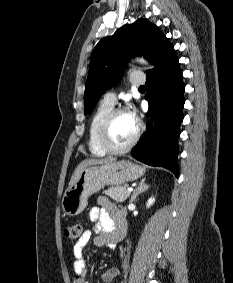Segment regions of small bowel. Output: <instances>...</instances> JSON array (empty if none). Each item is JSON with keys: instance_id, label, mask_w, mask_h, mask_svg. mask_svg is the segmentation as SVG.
I'll use <instances>...</instances> for the list:
<instances>
[{"instance_id": "c3829d8e", "label": "small bowel", "mask_w": 233, "mask_h": 283, "mask_svg": "<svg viewBox=\"0 0 233 283\" xmlns=\"http://www.w3.org/2000/svg\"><path fill=\"white\" fill-rule=\"evenodd\" d=\"M98 204L99 207H93L89 212V218L94 224L93 228L85 230L73 247V270L75 274L73 283H88L85 280L88 264L84 257V250L92 240L93 235H95L93 238L94 246H106L114 249L116 246L114 235L118 223L121 221L125 223L121 210L107 199L99 198ZM117 275L118 270L111 268L103 272L102 280L105 283H113Z\"/></svg>"}]
</instances>
